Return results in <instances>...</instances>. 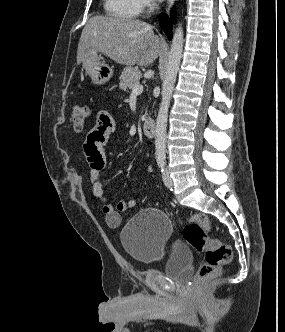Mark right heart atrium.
Returning <instances> with one entry per match:
<instances>
[{"label":"right heart atrium","mask_w":285,"mask_h":332,"mask_svg":"<svg viewBox=\"0 0 285 332\" xmlns=\"http://www.w3.org/2000/svg\"><path fill=\"white\" fill-rule=\"evenodd\" d=\"M140 11H148L154 7V0H138Z\"/></svg>","instance_id":"1"}]
</instances>
